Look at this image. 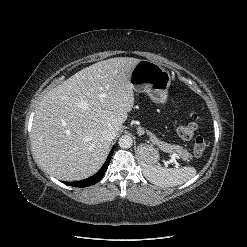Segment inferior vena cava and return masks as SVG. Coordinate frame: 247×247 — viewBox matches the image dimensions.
<instances>
[{
  "label": "inferior vena cava",
  "mask_w": 247,
  "mask_h": 247,
  "mask_svg": "<svg viewBox=\"0 0 247 247\" xmlns=\"http://www.w3.org/2000/svg\"><path fill=\"white\" fill-rule=\"evenodd\" d=\"M116 136V132L113 128L109 127L103 131V137L108 140L112 141Z\"/></svg>",
  "instance_id": "inferior-vena-cava-1"
}]
</instances>
